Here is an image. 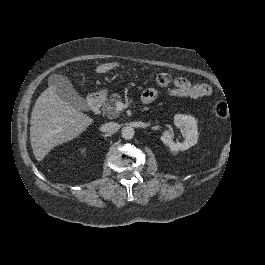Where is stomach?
<instances>
[{
	"mask_svg": "<svg viewBox=\"0 0 265 265\" xmlns=\"http://www.w3.org/2000/svg\"><path fill=\"white\" fill-rule=\"evenodd\" d=\"M109 91H110V89H108V88H102V89L100 90L99 94L105 96V95H107V94L109 93Z\"/></svg>",
	"mask_w": 265,
	"mask_h": 265,
	"instance_id": "stomach-1",
	"label": "stomach"
}]
</instances>
